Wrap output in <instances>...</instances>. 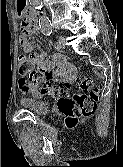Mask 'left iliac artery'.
Masks as SVG:
<instances>
[{"label":"left iliac artery","mask_w":123,"mask_h":167,"mask_svg":"<svg viewBox=\"0 0 123 167\" xmlns=\"http://www.w3.org/2000/svg\"><path fill=\"white\" fill-rule=\"evenodd\" d=\"M51 33H52V29H51V30H48L47 33H46V35H47V36H50ZM55 48H59L58 43L55 44Z\"/></svg>","instance_id":"1"}]
</instances>
